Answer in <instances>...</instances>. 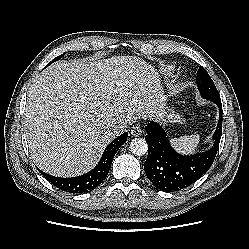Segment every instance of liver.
Wrapping results in <instances>:
<instances>
[{"mask_svg":"<svg viewBox=\"0 0 249 249\" xmlns=\"http://www.w3.org/2000/svg\"><path fill=\"white\" fill-rule=\"evenodd\" d=\"M165 101L158 72L136 56L51 65L27 97L23 127L31 157L54 176L86 173L115 138L114 125L162 120Z\"/></svg>","mask_w":249,"mask_h":249,"instance_id":"6515ba94","label":"liver"}]
</instances>
